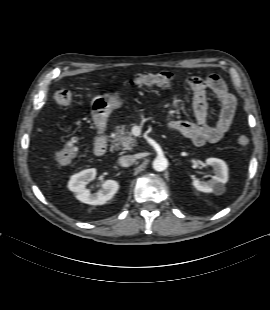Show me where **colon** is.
<instances>
[{
	"label": "colon",
	"instance_id": "colon-1",
	"mask_svg": "<svg viewBox=\"0 0 270 310\" xmlns=\"http://www.w3.org/2000/svg\"><path fill=\"white\" fill-rule=\"evenodd\" d=\"M173 80V75L169 72L160 73H143L129 81L130 85L150 86L160 85L168 86ZM55 103L61 107H69L73 104L75 95L68 90H59L54 94ZM237 145L240 150L246 151L250 146V137L248 134H239L236 138ZM79 154V147L76 138L65 139L61 148L56 152L55 159L59 164H68L74 160Z\"/></svg>",
	"mask_w": 270,
	"mask_h": 310
}]
</instances>
